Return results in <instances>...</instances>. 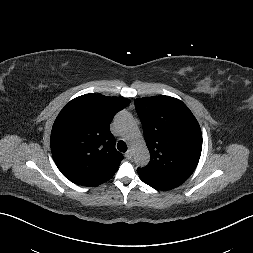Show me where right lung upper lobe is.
<instances>
[{"label": "right lung upper lobe", "mask_w": 253, "mask_h": 253, "mask_svg": "<svg viewBox=\"0 0 253 253\" xmlns=\"http://www.w3.org/2000/svg\"><path fill=\"white\" fill-rule=\"evenodd\" d=\"M130 104L123 97L85 94L71 100L51 131V151L61 173L78 185L97 186L116 173L123 155L109 125Z\"/></svg>", "instance_id": "obj_1"}]
</instances>
